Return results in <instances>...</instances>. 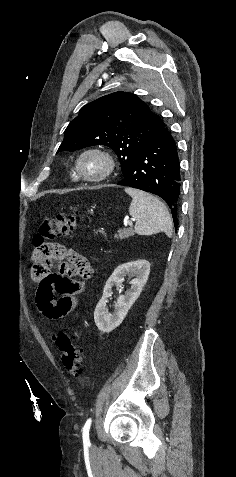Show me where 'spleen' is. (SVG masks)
Listing matches in <instances>:
<instances>
[{
    "label": "spleen",
    "mask_w": 236,
    "mask_h": 477,
    "mask_svg": "<svg viewBox=\"0 0 236 477\" xmlns=\"http://www.w3.org/2000/svg\"><path fill=\"white\" fill-rule=\"evenodd\" d=\"M132 197L129 214L136 219L135 232L139 235H152L164 232L172 236L173 224L165 205L155 196L144 191L125 188Z\"/></svg>",
    "instance_id": "obj_1"
}]
</instances>
